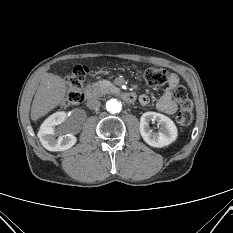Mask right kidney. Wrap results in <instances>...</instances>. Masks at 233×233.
Here are the masks:
<instances>
[{
  "label": "right kidney",
  "instance_id": "1",
  "mask_svg": "<svg viewBox=\"0 0 233 233\" xmlns=\"http://www.w3.org/2000/svg\"><path fill=\"white\" fill-rule=\"evenodd\" d=\"M67 118V114L63 111L56 112L49 116L40 126L38 138L44 148L49 151H64L75 145L77 139L73 134L60 135L58 139L56 134H61L62 129L56 128L57 125L63 123Z\"/></svg>",
  "mask_w": 233,
  "mask_h": 233
}]
</instances>
